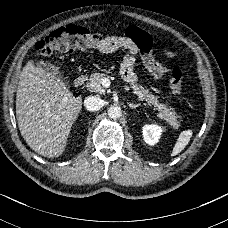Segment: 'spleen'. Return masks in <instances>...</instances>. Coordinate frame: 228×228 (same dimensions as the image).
Here are the masks:
<instances>
[{
	"label": "spleen",
	"instance_id": "spleen-1",
	"mask_svg": "<svg viewBox=\"0 0 228 228\" xmlns=\"http://www.w3.org/2000/svg\"><path fill=\"white\" fill-rule=\"evenodd\" d=\"M192 135H193V129L190 128V129L183 130L178 136V139L170 153V157H174L180 152H182L183 149L188 145Z\"/></svg>",
	"mask_w": 228,
	"mask_h": 228
}]
</instances>
